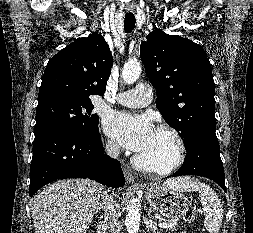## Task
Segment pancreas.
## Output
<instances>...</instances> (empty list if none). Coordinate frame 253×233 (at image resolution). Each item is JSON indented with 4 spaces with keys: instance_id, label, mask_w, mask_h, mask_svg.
<instances>
[{
    "instance_id": "1",
    "label": "pancreas",
    "mask_w": 253,
    "mask_h": 233,
    "mask_svg": "<svg viewBox=\"0 0 253 233\" xmlns=\"http://www.w3.org/2000/svg\"><path fill=\"white\" fill-rule=\"evenodd\" d=\"M176 229H175V227L173 226V227H170L169 229H167V232H173V231H175Z\"/></svg>"
}]
</instances>
